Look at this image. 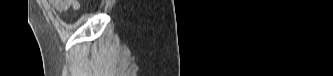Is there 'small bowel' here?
<instances>
[{"instance_id":"1","label":"small bowel","mask_w":333,"mask_h":76,"mask_svg":"<svg viewBox=\"0 0 333 76\" xmlns=\"http://www.w3.org/2000/svg\"><path fill=\"white\" fill-rule=\"evenodd\" d=\"M48 3L54 11L58 12L71 10L75 13L79 11L81 6L78 0H49Z\"/></svg>"}]
</instances>
